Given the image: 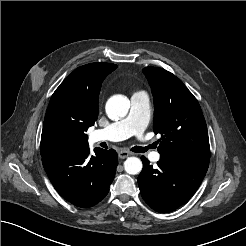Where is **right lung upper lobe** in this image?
I'll use <instances>...</instances> for the list:
<instances>
[{
  "label": "right lung upper lobe",
  "mask_w": 246,
  "mask_h": 246,
  "mask_svg": "<svg viewBox=\"0 0 246 246\" xmlns=\"http://www.w3.org/2000/svg\"><path fill=\"white\" fill-rule=\"evenodd\" d=\"M116 67L110 63H91L78 67L66 77L47 108L41 156L68 146H88L85 132L97 120L101 84Z\"/></svg>",
  "instance_id": "right-lung-upper-lobe-1"
}]
</instances>
